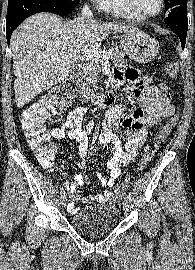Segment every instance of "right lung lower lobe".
Listing matches in <instances>:
<instances>
[{
  "instance_id": "98d812e1",
  "label": "right lung lower lobe",
  "mask_w": 195,
  "mask_h": 270,
  "mask_svg": "<svg viewBox=\"0 0 195 270\" xmlns=\"http://www.w3.org/2000/svg\"><path fill=\"white\" fill-rule=\"evenodd\" d=\"M75 0L72 3L78 2ZM58 3L52 0H8L6 17V37L9 45L12 32L27 17L39 12L55 13Z\"/></svg>"
}]
</instances>
